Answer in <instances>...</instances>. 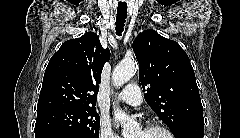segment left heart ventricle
Returning a JSON list of instances; mask_svg holds the SVG:
<instances>
[{"mask_svg": "<svg viewBox=\"0 0 240 138\" xmlns=\"http://www.w3.org/2000/svg\"><path fill=\"white\" fill-rule=\"evenodd\" d=\"M133 138H166V135L157 130H140L134 133Z\"/></svg>", "mask_w": 240, "mask_h": 138, "instance_id": "b2bd125f", "label": "left heart ventricle"}]
</instances>
